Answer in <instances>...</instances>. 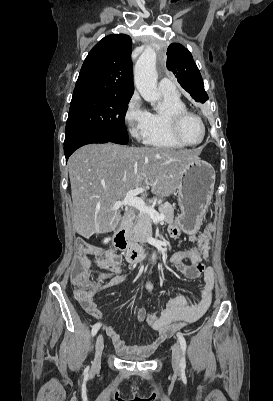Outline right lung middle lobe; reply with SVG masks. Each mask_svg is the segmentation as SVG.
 <instances>
[{"label":"right lung middle lobe","mask_w":273,"mask_h":401,"mask_svg":"<svg viewBox=\"0 0 273 401\" xmlns=\"http://www.w3.org/2000/svg\"><path fill=\"white\" fill-rule=\"evenodd\" d=\"M131 97L86 94L73 96L65 138L90 134L113 143L127 144L125 114Z\"/></svg>","instance_id":"1"}]
</instances>
